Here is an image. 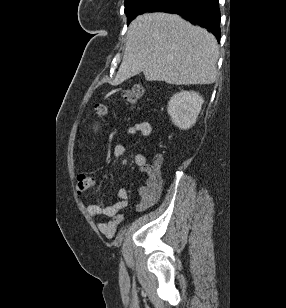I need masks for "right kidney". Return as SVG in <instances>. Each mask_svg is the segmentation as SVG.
<instances>
[{
    "label": "right kidney",
    "instance_id": "ca27d5eb",
    "mask_svg": "<svg viewBox=\"0 0 286 308\" xmlns=\"http://www.w3.org/2000/svg\"><path fill=\"white\" fill-rule=\"evenodd\" d=\"M204 100L194 91H181L168 102V114L174 125L180 129L192 127L200 113Z\"/></svg>",
    "mask_w": 286,
    "mask_h": 308
}]
</instances>
